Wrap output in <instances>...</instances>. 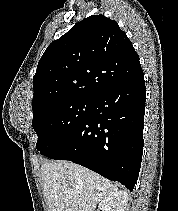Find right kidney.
Segmentation results:
<instances>
[{"mask_svg":"<svg viewBox=\"0 0 178 211\" xmlns=\"http://www.w3.org/2000/svg\"><path fill=\"white\" fill-rule=\"evenodd\" d=\"M127 202L128 193L120 190L104 198L98 208L100 211H125Z\"/></svg>","mask_w":178,"mask_h":211,"instance_id":"right-kidney-1","label":"right kidney"}]
</instances>
